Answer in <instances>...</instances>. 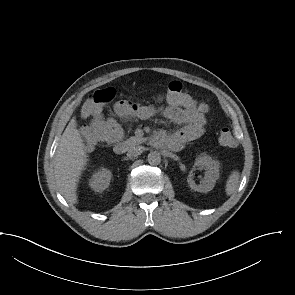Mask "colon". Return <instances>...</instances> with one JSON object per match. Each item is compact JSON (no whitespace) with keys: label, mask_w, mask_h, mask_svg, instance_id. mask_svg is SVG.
I'll list each match as a JSON object with an SVG mask.
<instances>
[{"label":"colon","mask_w":295,"mask_h":295,"mask_svg":"<svg viewBox=\"0 0 295 295\" xmlns=\"http://www.w3.org/2000/svg\"><path fill=\"white\" fill-rule=\"evenodd\" d=\"M168 97L175 99L181 104H195L192 96L186 91L179 81H172L167 86ZM115 97V91L112 88L101 89L93 92L84 102L82 106L83 117H91L102 111L104 106L111 102ZM200 108L205 109V105L201 104ZM83 135L88 146H94L104 140L105 131L100 126H87L83 131ZM219 143L228 148L236 146V140L232 132L228 128L220 131L218 137Z\"/></svg>","instance_id":"colon-1"}]
</instances>
